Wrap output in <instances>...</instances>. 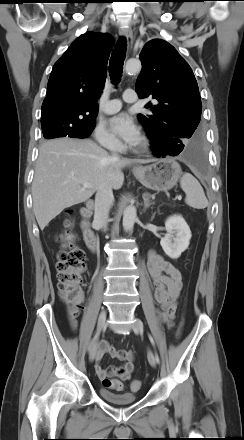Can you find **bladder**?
<instances>
[{"label": "bladder", "instance_id": "bladder-1", "mask_svg": "<svg viewBox=\"0 0 244 440\" xmlns=\"http://www.w3.org/2000/svg\"><path fill=\"white\" fill-rule=\"evenodd\" d=\"M99 396L112 404H131L135 403L138 399L137 393L134 392H113L106 387L99 388Z\"/></svg>", "mask_w": 244, "mask_h": 440}]
</instances>
